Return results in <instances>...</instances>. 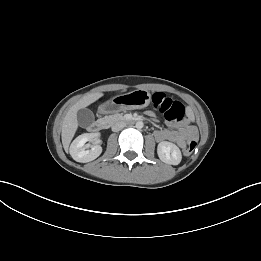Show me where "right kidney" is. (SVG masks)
Masks as SVG:
<instances>
[{
	"instance_id": "1",
	"label": "right kidney",
	"mask_w": 261,
	"mask_h": 261,
	"mask_svg": "<svg viewBox=\"0 0 261 261\" xmlns=\"http://www.w3.org/2000/svg\"><path fill=\"white\" fill-rule=\"evenodd\" d=\"M99 137L98 133H84L79 135L70 145V155L72 158L81 163H87L96 159L102 152L100 145H93L91 149L86 142H93Z\"/></svg>"
}]
</instances>
